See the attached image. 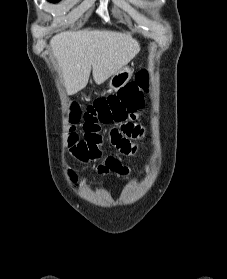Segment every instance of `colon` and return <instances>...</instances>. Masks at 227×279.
Listing matches in <instances>:
<instances>
[{"label":"colon","instance_id":"1","mask_svg":"<svg viewBox=\"0 0 227 279\" xmlns=\"http://www.w3.org/2000/svg\"><path fill=\"white\" fill-rule=\"evenodd\" d=\"M149 72L141 70L137 74V83L132 84L121 91L120 96L99 98L88 105L82 113L80 108L72 105L71 127L69 128L70 150L80 161H89L99 157L100 147L103 145L101 126L111 123H124L136 118V113L142 106L137 98V88L146 81ZM80 121L82 124L83 138L76 133L75 125ZM128 132H135L132 127L126 126ZM112 135H116L113 130Z\"/></svg>","mask_w":227,"mask_h":279}]
</instances>
